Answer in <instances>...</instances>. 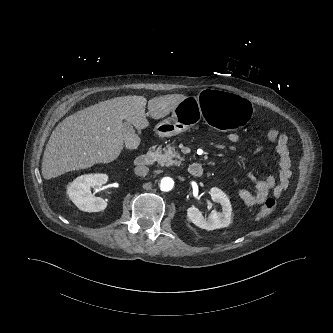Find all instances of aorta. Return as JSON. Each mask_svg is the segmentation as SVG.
Instances as JSON below:
<instances>
[{
	"label": "aorta",
	"instance_id": "762f6f07",
	"mask_svg": "<svg viewBox=\"0 0 333 333\" xmlns=\"http://www.w3.org/2000/svg\"><path fill=\"white\" fill-rule=\"evenodd\" d=\"M173 187H174V181H173L172 178L164 177V178L161 179L160 189L162 191H165V192L170 191V190H172Z\"/></svg>",
	"mask_w": 333,
	"mask_h": 333
}]
</instances>
